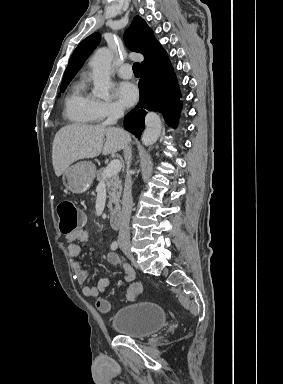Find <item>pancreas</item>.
I'll return each instance as SVG.
<instances>
[{
    "label": "pancreas",
    "instance_id": "cf45deb5",
    "mask_svg": "<svg viewBox=\"0 0 283 384\" xmlns=\"http://www.w3.org/2000/svg\"><path fill=\"white\" fill-rule=\"evenodd\" d=\"M104 170L105 168H101V170H98L96 178L98 182H103V184H105L107 192L109 194V212H111V214H115V212H120L119 202L122 192V186L119 180V176H111V178H104Z\"/></svg>",
    "mask_w": 283,
    "mask_h": 384
}]
</instances>
